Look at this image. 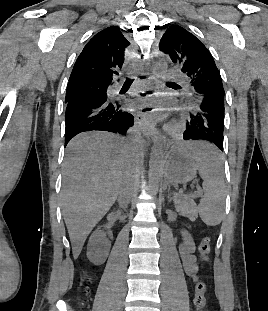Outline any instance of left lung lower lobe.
<instances>
[{"mask_svg": "<svg viewBox=\"0 0 268 311\" xmlns=\"http://www.w3.org/2000/svg\"><path fill=\"white\" fill-rule=\"evenodd\" d=\"M224 95L212 93L196 102L195 111L190 114L182 137L186 140H206L223 149Z\"/></svg>", "mask_w": 268, "mask_h": 311, "instance_id": "left-lung-lower-lobe-1", "label": "left lung lower lobe"}]
</instances>
